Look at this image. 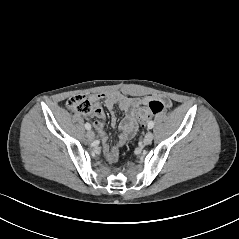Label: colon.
<instances>
[{"instance_id": "colon-1", "label": "colon", "mask_w": 239, "mask_h": 239, "mask_svg": "<svg viewBox=\"0 0 239 239\" xmlns=\"http://www.w3.org/2000/svg\"><path fill=\"white\" fill-rule=\"evenodd\" d=\"M67 107L74 112L89 114L94 110L93 102L85 95H74L67 101ZM164 104L159 100H151L146 105L138 109L137 117L139 122L144 125L153 115L163 111Z\"/></svg>"}]
</instances>
